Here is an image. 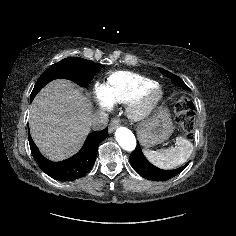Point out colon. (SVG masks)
Returning <instances> with one entry per match:
<instances>
[{
  "mask_svg": "<svg viewBox=\"0 0 236 236\" xmlns=\"http://www.w3.org/2000/svg\"><path fill=\"white\" fill-rule=\"evenodd\" d=\"M175 113L181 128L188 136H191L193 132L192 102L186 97L179 98L175 104Z\"/></svg>",
  "mask_w": 236,
  "mask_h": 236,
  "instance_id": "5ec220e1",
  "label": "colon"
}]
</instances>
